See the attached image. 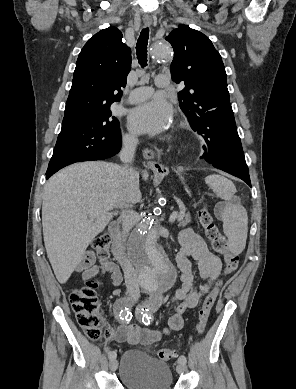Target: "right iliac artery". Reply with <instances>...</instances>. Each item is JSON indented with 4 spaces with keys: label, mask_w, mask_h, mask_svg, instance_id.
Segmentation results:
<instances>
[{
    "label": "right iliac artery",
    "mask_w": 296,
    "mask_h": 389,
    "mask_svg": "<svg viewBox=\"0 0 296 389\" xmlns=\"http://www.w3.org/2000/svg\"><path fill=\"white\" fill-rule=\"evenodd\" d=\"M128 302H129L128 299L122 298L118 301L116 305V317L121 321H125V314H126L125 310L127 308H131ZM109 358L110 359L116 358V352L114 351L109 352Z\"/></svg>",
    "instance_id": "obj_1"
}]
</instances>
